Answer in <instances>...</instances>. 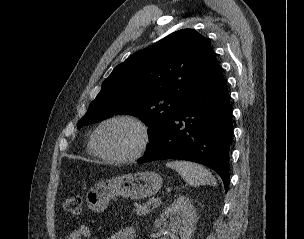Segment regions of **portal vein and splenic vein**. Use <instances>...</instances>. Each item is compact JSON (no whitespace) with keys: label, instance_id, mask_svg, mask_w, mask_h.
<instances>
[{"label":"portal vein and splenic vein","instance_id":"obj_1","mask_svg":"<svg viewBox=\"0 0 304 239\" xmlns=\"http://www.w3.org/2000/svg\"><path fill=\"white\" fill-rule=\"evenodd\" d=\"M160 203H161V199H156V200L154 201V203H153V207L159 206Z\"/></svg>","mask_w":304,"mask_h":239}]
</instances>
